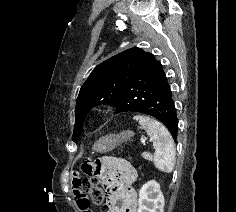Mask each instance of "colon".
Here are the masks:
<instances>
[{
  "mask_svg": "<svg viewBox=\"0 0 236 212\" xmlns=\"http://www.w3.org/2000/svg\"><path fill=\"white\" fill-rule=\"evenodd\" d=\"M82 168L88 174L80 182L82 191L94 204L101 205L103 212H108V205L105 203V187L108 186L103 180L100 171L96 170L95 166L90 163L83 164ZM88 203H90L89 200Z\"/></svg>",
  "mask_w": 236,
  "mask_h": 212,
  "instance_id": "colon-1",
  "label": "colon"
}]
</instances>
